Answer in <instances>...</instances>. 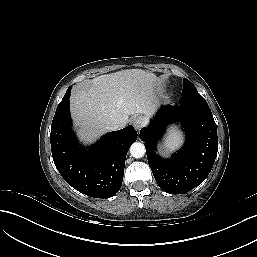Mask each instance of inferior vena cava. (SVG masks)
<instances>
[{"instance_id":"602c4592","label":"inferior vena cava","mask_w":257,"mask_h":257,"mask_svg":"<svg viewBox=\"0 0 257 257\" xmlns=\"http://www.w3.org/2000/svg\"><path fill=\"white\" fill-rule=\"evenodd\" d=\"M126 123H127L126 121L115 122L107 126V129L110 131H115L120 128H123L126 125Z\"/></svg>"}]
</instances>
